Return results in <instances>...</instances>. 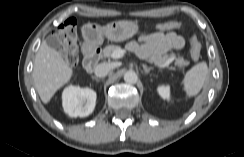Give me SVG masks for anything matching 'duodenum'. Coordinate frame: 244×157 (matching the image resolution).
Listing matches in <instances>:
<instances>
[{"instance_id":"duodenum-1","label":"duodenum","mask_w":244,"mask_h":157,"mask_svg":"<svg viewBox=\"0 0 244 157\" xmlns=\"http://www.w3.org/2000/svg\"><path fill=\"white\" fill-rule=\"evenodd\" d=\"M101 51L98 48L86 47L83 67L85 71L92 72L100 60Z\"/></svg>"}]
</instances>
